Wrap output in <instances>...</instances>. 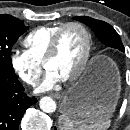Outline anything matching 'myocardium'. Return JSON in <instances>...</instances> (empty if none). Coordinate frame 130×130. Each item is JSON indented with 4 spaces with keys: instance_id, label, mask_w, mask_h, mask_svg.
<instances>
[{
    "instance_id": "f54148a6",
    "label": "myocardium",
    "mask_w": 130,
    "mask_h": 130,
    "mask_svg": "<svg viewBox=\"0 0 130 130\" xmlns=\"http://www.w3.org/2000/svg\"><path fill=\"white\" fill-rule=\"evenodd\" d=\"M69 27H76L82 31V33L85 36L86 46H85L84 55L82 57L80 64L71 75L63 79V81L65 82L75 81L77 78H79L82 75V73L86 69V66L89 62V59L91 56V50H92V36L89 29L80 22H76V21L66 22L62 24L60 28L56 31V33L53 35L48 51L43 60L44 66L48 61L54 58L55 55L57 54L61 35Z\"/></svg>"
}]
</instances>
